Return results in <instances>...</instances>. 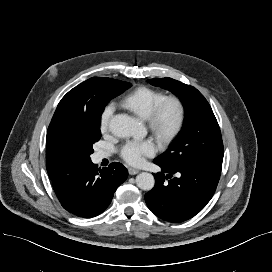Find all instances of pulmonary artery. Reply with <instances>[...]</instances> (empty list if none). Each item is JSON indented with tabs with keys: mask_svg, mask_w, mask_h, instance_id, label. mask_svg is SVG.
Listing matches in <instances>:
<instances>
[{
	"mask_svg": "<svg viewBox=\"0 0 272 272\" xmlns=\"http://www.w3.org/2000/svg\"><path fill=\"white\" fill-rule=\"evenodd\" d=\"M107 156H108V154L103 151H99L95 155L97 160H102L103 158H106Z\"/></svg>",
	"mask_w": 272,
	"mask_h": 272,
	"instance_id": "1",
	"label": "pulmonary artery"
}]
</instances>
